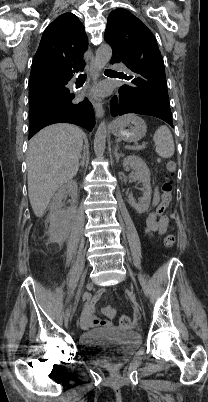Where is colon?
Returning a JSON list of instances; mask_svg holds the SVG:
<instances>
[{"label":"colon","instance_id":"5ec220e1","mask_svg":"<svg viewBox=\"0 0 208 402\" xmlns=\"http://www.w3.org/2000/svg\"><path fill=\"white\" fill-rule=\"evenodd\" d=\"M164 170L167 175L175 172L176 170V163L173 160H166L164 163ZM172 191V185L170 182H165L162 185L161 192H162V197L160 202L157 205V210L156 213L160 214L163 212V210L168 206L169 201H170V194ZM176 242V237L172 233H167L164 236V244L166 247H172L174 246ZM118 323L120 326H128L130 323V317L127 314H121L118 317Z\"/></svg>","mask_w":208,"mask_h":402}]
</instances>
